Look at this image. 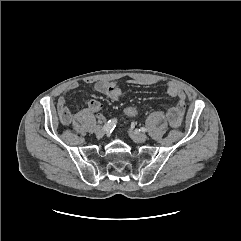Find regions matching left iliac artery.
<instances>
[{
    "label": "left iliac artery",
    "instance_id": "1",
    "mask_svg": "<svg viewBox=\"0 0 241 241\" xmlns=\"http://www.w3.org/2000/svg\"><path fill=\"white\" fill-rule=\"evenodd\" d=\"M141 130H142V132H146L147 131V129L145 127H142Z\"/></svg>",
    "mask_w": 241,
    "mask_h": 241
}]
</instances>
